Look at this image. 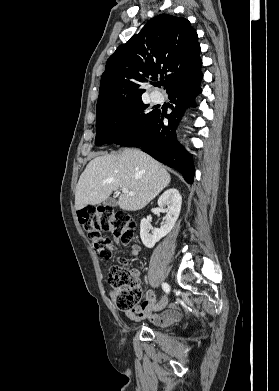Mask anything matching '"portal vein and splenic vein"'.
Masks as SVG:
<instances>
[{
	"instance_id": "18ae733b",
	"label": "portal vein and splenic vein",
	"mask_w": 279,
	"mask_h": 391,
	"mask_svg": "<svg viewBox=\"0 0 279 391\" xmlns=\"http://www.w3.org/2000/svg\"><path fill=\"white\" fill-rule=\"evenodd\" d=\"M121 190H122L123 193L128 194V195H130V196H133V195H134V192L129 191L127 188H122Z\"/></svg>"
}]
</instances>
